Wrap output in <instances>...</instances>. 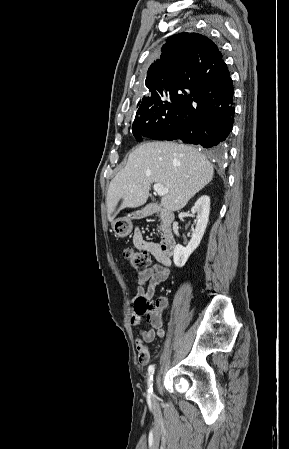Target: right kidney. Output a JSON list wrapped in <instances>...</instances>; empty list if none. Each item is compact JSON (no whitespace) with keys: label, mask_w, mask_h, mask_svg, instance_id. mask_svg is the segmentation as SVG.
<instances>
[{"label":"right kidney","mask_w":289,"mask_h":449,"mask_svg":"<svg viewBox=\"0 0 289 449\" xmlns=\"http://www.w3.org/2000/svg\"><path fill=\"white\" fill-rule=\"evenodd\" d=\"M191 212L197 214L196 227L186 248L180 244L175 246L173 261L177 267H183L186 264L189 256L202 240L209 220L210 197L208 195L201 196L192 207Z\"/></svg>","instance_id":"obj_1"}]
</instances>
